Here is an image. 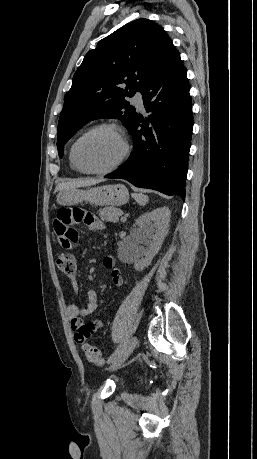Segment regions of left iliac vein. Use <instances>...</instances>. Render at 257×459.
Masks as SVG:
<instances>
[{"label":"left iliac vein","instance_id":"left-iliac-vein-1","mask_svg":"<svg viewBox=\"0 0 257 459\" xmlns=\"http://www.w3.org/2000/svg\"><path fill=\"white\" fill-rule=\"evenodd\" d=\"M138 344V339L136 337L131 338L125 345L122 353L117 357L116 360H114L110 367L109 371H114L118 369L130 356V354L133 352V350L136 348Z\"/></svg>","mask_w":257,"mask_h":459}]
</instances>
